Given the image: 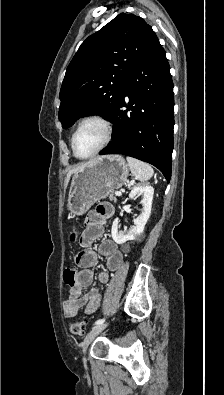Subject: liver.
<instances>
[{"label": "liver", "mask_w": 224, "mask_h": 395, "mask_svg": "<svg viewBox=\"0 0 224 395\" xmlns=\"http://www.w3.org/2000/svg\"><path fill=\"white\" fill-rule=\"evenodd\" d=\"M95 159H96V158H95ZM95 159H91L90 161L85 162V163H82V164L78 165L76 168L70 170V171L68 172V174H67L66 179H65V187L68 185V182H69V180H70V177H71V175H72L73 173H75L76 171H78V170H80V169H82V168H84V167L90 165L91 163H93V162L95 161Z\"/></svg>", "instance_id": "liver-1"}]
</instances>
